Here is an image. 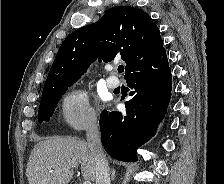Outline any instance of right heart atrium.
Returning a JSON list of instances; mask_svg holds the SVG:
<instances>
[{
  "label": "right heart atrium",
  "mask_w": 224,
  "mask_h": 184,
  "mask_svg": "<svg viewBox=\"0 0 224 184\" xmlns=\"http://www.w3.org/2000/svg\"><path fill=\"white\" fill-rule=\"evenodd\" d=\"M64 121L75 129H88L97 124V115L84 90L69 92L62 101Z\"/></svg>",
  "instance_id": "right-heart-atrium-1"
}]
</instances>
